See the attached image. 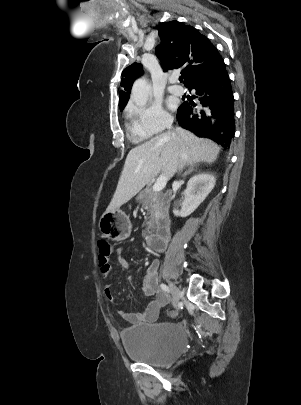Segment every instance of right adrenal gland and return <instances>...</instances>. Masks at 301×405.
<instances>
[{
	"label": "right adrenal gland",
	"mask_w": 301,
	"mask_h": 405,
	"mask_svg": "<svg viewBox=\"0 0 301 405\" xmlns=\"http://www.w3.org/2000/svg\"><path fill=\"white\" fill-rule=\"evenodd\" d=\"M198 167H199V163L192 165L182 176L185 177L186 175L192 173Z\"/></svg>",
	"instance_id": "obj_1"
}]
</instances>
